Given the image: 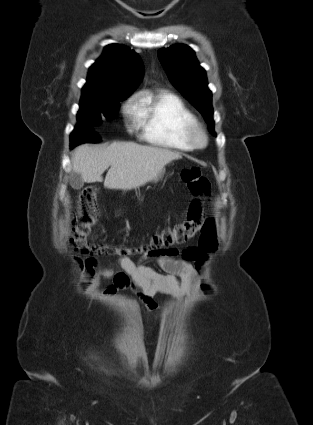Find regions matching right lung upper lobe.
I'll list each match as a JSON object with an SVG mask.
<instances>
[{
    "label": "right lung upper lobe",
    "mask_w": 313,
    "mask_h": 425,
    "mask_svg": "<svg viewBox=\"0 0 313 425\" xmlns=\"http://www.w3.org/2000/svg\"><path fill=\"white\" fill-rule=\"evenodd\" d=\"M144 67L140 56L130 48L110 44L89 68L81 101L99 99L114 93L130 95L140 83Z\"/></svg>",
    "instance_id": "1"
}]
</instances>
